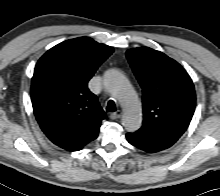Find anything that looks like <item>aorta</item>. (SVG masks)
<instances>
[{"mask_svg":"<svg viewBox=\"0 0 220 196\" xmlns=\"http://www.w3.org/2000/svg\"><path fill=\"white\" fill-rule=\"evenodd\" d=\"M106 87L116 96L123 107L122 125L127 131H136L142 122V112L136 92L128 79L119 71L105 75Z\"/></svg>","mask_w":220,"mask_h":196,"instance_id":"1","label":"aorta"}]
</instances>
